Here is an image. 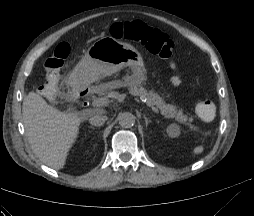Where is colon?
Returning <instances> with one entry per match:
<instances>
[{
	"instance_id": "1",
	"label": "colon",
	"mask_w": 254,
	"mask_h": 216,
	"mask_svg": "<svg viewBox=\"0 0 254 216\" xmlns=\"http://www.w3.org/2000/svg\"><path fill=\"white\" fill-rule=\"evenodd\" d=\"M111 35L116 39H128L144 46L151 54L161 58H170L171 47L174 42L159 29L149 27L141 22H117L111 26ZM71 47L62 42L57 45L53 53L45 62V83L40 88L42 94L53 96L57 92L60 71L64 60L69 56ZM196 115L203 121H210L215 117L216 106L210 100L199 102L195 107Z\"/></svg>"
}]
</instances>
